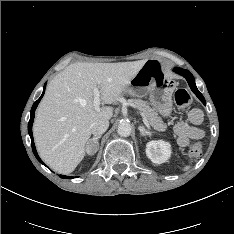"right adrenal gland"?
I'll return each mask as SVG.
<instances>
[{
  "label": "right adrenal gland",
  "instance_id": "obj_1",
  "mask_svg": "<svg viewBox=\"0 0 234 234\" xmlns=\"http://www.w3.org/2000/svg\"><path fill=\"white\" fill-rule=\"evenodd\" d=\"M100 138H101V135L91 138V139L87 142V146L89 145V143L94 142V143L96 144V150H95L94 152L98 151V149H99V142H98V139H100ZM94 152H92L91 154H93Z\"/></svg>",
  "mask_w": 234,
  "mask_h": 234
}]
</instances>
